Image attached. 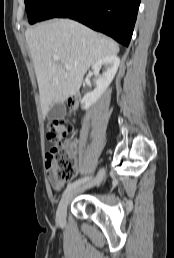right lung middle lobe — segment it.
<instances>
[{"instance_id":"right-lung-middle-lobe-1","label":"right lung middle lobe","mask_w":174,"mask_h":258,"mask_svg":"<svg viewBox=\"0 0 174 258\" xmlns=\"http://www.w3.org/2000/svg\"><path fill=\"white\" fill-rule=\"evenodd\" d=\"M52 1L53 0H25L29 23L34 24L41 21Z\"/></svg>"}]
</instances>
